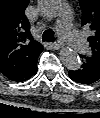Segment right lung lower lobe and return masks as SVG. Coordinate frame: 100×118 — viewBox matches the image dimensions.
<instances>
[{"label":"right lung lower lobe","instance_id":"obj_1","mask_svg":"<svg viewBox=\"0 0 100 118\" xmlns=\"http://www.w3.org/2000/svg\"><path fill=\"white\" fill-rule=\"evenodd\" d=\"M42 50L39 52V54L42 52ZM39 54L36 56L34 61L30 64V66L28 67L27 71L21 77H19L17 80H14V81H17V82L26 81L32 75H34L36 73V71H37L36 63H37V58H38Z\"/></svg>","mask_w":100,"mask_h":118}]
</instances>
